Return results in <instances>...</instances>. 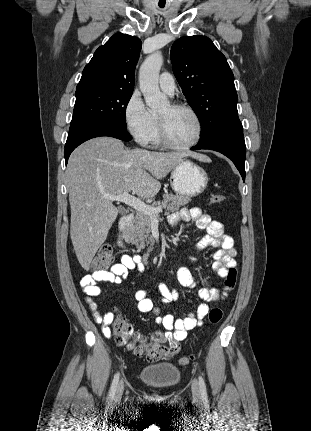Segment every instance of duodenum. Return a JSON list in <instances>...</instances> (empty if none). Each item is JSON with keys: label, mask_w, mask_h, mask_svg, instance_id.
Instances as JSON below:
<instances>
[{"label": "duodenum", "mask_w": 311, "mask_h": 431, "mask_svg": "<svg viewBox=\"0 0 311 431\" xmlns=\"http://www.w3.org/2000/svg\"><path fill=\"white\" fill-rule=\"evenodd\" d=\"M134 220V216L132 213H128L125 214L119 223V234H118V238H117V245L121 248L124 247V242H123V237L122 234L123 232L131 225V223Z\"/></svg>", "instance_id": "duodenum-1"}]
</instances>
